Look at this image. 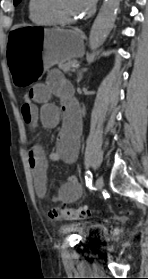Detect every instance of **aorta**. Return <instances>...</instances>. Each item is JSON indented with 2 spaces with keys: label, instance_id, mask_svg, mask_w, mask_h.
Instances as JSON below:
<instances>
[{
  "label": "aorta",
  "instance_id": "762f6f07",
  "mask_svg": "<svg viewBox=\"0 0 148 279\" xmlns=\"http://www.w3.org/2000/svg\"><path fill=\"white\" fill-rule=\"evenodd\" d=\"M120 0H104L100 11L91 27L89 47L96 50L104 43L112 30Z\"/></svg>",
  "mask_w": 148,
  "mask_h": 279
}]
</instances>
